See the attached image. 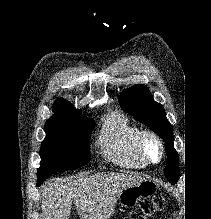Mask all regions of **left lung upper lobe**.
Listing matches in <instances>:
<instances>
[{"instance_id": "1", "label": "left lung upper lobe", "mask_w": 211, "mask_h": 219, "mask_svg": "<svg viewBox=\"0 0 211 219\" xmlns=\"http://www.w3.org/2000/svg\"><path fill=\"white\" fill-rule=\"evenodd\" d=\"M119 102L124 111L132 114L135 119L143 122L162 137L166 144L167 155L171 152L177 153L173 144L172 125L167 120L163 107L153 101L151 93L146 87L142 85L130 87L119 96ZM178 169V161L170 162L168 160L165 175L172 184L177 182Z\"/></svg>"}]
</instances>
